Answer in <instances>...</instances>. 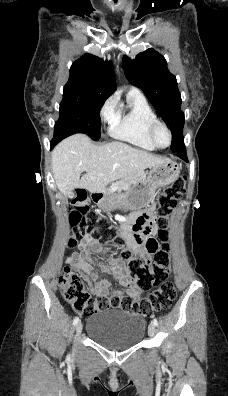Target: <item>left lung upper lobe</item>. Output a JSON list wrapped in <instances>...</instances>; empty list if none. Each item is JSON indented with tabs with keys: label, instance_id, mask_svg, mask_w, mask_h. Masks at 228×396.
<instances>
[{
	"label": "left lung upper lobe",
	"instance_id": "obj_1",
	"mask_svg": "<svg viewBox=\"0 0 228 396\" xmlns=\"http://www.w3.org/2000/svg\"><path fill=\"white\" fill-rule=\"evenodd\" d=\"M123 68L129 82L143 90L152 105L168 124L172 133L171 150L184 159V113L176 77L172 75L165 58L149 48L131 60L123 57Z\"/></svg>",
	"mask_w": 228,
	"mask_h": 396
}]
</instances>
